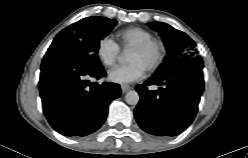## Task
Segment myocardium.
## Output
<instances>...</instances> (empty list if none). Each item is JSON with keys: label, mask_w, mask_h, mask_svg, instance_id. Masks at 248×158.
I'll return each mask as SVG.
<instances>
[{"label": "myocardium", "mask_w": 248, "mask_h": 158, "mask_svg": "<svg viewBox=\"0 0 248 158\" xmlns=\"http://www.w3.org/2000/svg\"><path fill=\"white\" fill-rule=\"evenodd\" d=\"M132 50H136L139 52H146L149 50L155 51L156 58L154 62L146 69L148 72H154L158 70L163 64L166 57V48L164 43L153 38L134 46Z\"/></svg>", "instance_id": "1"}]
</instances>
